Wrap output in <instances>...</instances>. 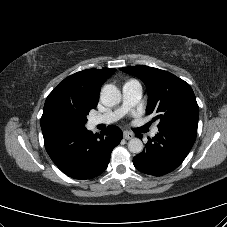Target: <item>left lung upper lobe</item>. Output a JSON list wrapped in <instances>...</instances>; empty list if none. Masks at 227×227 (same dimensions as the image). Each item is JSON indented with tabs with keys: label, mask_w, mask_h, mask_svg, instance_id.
<instances>
[{
	"label": "left lung upper lobe",
	"mask_w": 227,
	"mask_h": 227,
	"mask_svg": "<svg viewBox=\"0 0 227 227\" xmlns=\"http://www.w3.org/2000/svg\"><path fill=\"white\" fill-rule=\"evenodd\" d=\"M140 78L148 90L147 114H156L158 128L184 129L197 134L199 107L190 85L175 75L148 66L123 67Z\"/></svg>",
	"instance_id": "obj_1"
}]
</instances>
